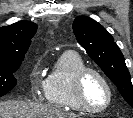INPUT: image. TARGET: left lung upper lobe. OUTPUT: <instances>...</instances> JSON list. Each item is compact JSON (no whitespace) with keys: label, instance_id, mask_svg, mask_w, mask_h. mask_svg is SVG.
<instances>
[{"label":"left lung upper lobe","instance_id":"left-lung-upper-lobe-1","mask_svg":"<svg viewBox=\"0 0 133 118\" xmlns=\"http://www.w3.org/2000/svg\"><path fill=\"white\" fill-rule=\"evenodd\" d=\"M78 43L91 59L117 86L126 102L133 107V85L125 59L110 33L87 16H78L73 22Z\"/></svg>","mask_w":133,"mask_h":118}]
</instances>
